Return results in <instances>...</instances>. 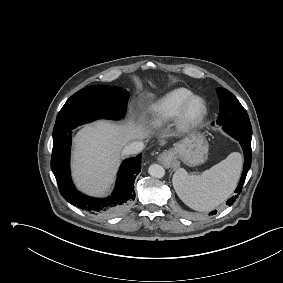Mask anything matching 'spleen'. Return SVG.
<instances>
[{"instance_id":"1","label":"spleen","mask_w":283,"mask_h":283,"mask_svg":"<svg viewBox=\"0 0 283 283\" xmlns=\"http://www.w3.org/2000/svg\"><path fill=\"white\" fill-rule=\"evenodd\" d=\"M241 167V154L233 152L201 175H189L185 169L179 168L173 176V186L188 207L208 211L233 193Z\"/></svg>"}]
</instances>
